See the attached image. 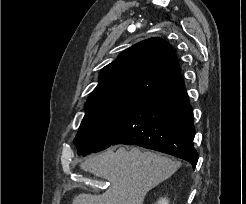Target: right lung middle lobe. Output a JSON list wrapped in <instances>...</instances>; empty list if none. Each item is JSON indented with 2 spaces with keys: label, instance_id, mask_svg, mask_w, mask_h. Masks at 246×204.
<instances>
[{
  "label": "right lung middle lobe",
  "instance_id": "dd1d6c3e",
  "mask_svg": "<svg viewBox=\"0 0 246 204\" xmlns=\"http://www.w3.org/2000/svg\"><path fill=\"white\" fill-rule=\"evenodd\" d=\"M136 98L90 101L74 139L78 155L98 152L111 146L124 118Z\"/></svg>",
  "mask_w": 246,
  "mask_h": 204
}]
</instances>
